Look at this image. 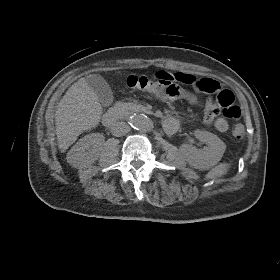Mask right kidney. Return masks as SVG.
<instances>
[{
    "label": "right kidney",
    "instance_id": "right-kidney-1",
    "mask_svg": "<svg viewBox=\"0 0 280 280\" xmlns=\"http://www.w3.org/2000/svg\"><path fill=\"white\" fill-rule=\"evenodd\" d=\"M104 141V136L99 133H93L86 135L74 146V150L77 151L76 155L85 162L91 163L97 160L101 145ZM73 150V149H72Z\"/></svg>",
    "mask_w": 280,
    "mask_h": 280
}]
</instances>
